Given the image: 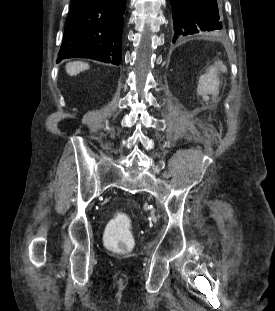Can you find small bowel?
<instances>
[{
	"label": "small bowel",
	"instance_id": "small-bowel-1",
	"mask_svg": "<svg viewBox=\"0 0 275 311\" xmlns=\"http://www.w3.org/2000/svg\"><path fill=\"white\" fill-rule=\"evenodd\" d=\"M210 69H206V73H200L197 81L196 92L199 97L203 98L204 103H210L211 107L217 102L218 93L220 92L221 76H225V58L224 56H211Z\"/></svg>",
	"mask_w": 275,
	"mask_h": 311
}]
</instances>
